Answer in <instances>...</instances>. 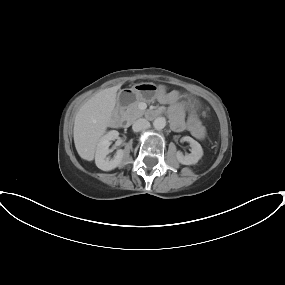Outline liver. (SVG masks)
Masks as SVG:
<instances>
[{"instance_id":"6515ba94","label":"liver","mask_w":285,"mask_h":285,"mask_svg":"<svg viewBox=\"0 0 285 285\" xmlns=\"http://www.w3.org/2000/svg\"><path fill=\"white\" fill-rule=\"evenodd\" d=\"M120 87L121 84L96 93L76 114L73 136L76 150L82 159H94L96 146L110 125Z\"/></svg>"}]
</instances>
